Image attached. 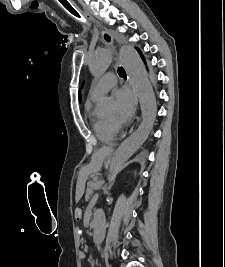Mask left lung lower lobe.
I'll return each instance as SVG.
<instances>
[{
    "label": "left lung lower lobe",
    "mask_w": 225,
    "mask_h": 267,
    "mask_svg": "<svg viewBox=\"0 0 225 267\" xmlns=\"http://www.w3.org/2000/svg\"><path fill=\"white\" fill-rule=\"evenodd\" d=\"M137 50H138V52L140 53V55L142 56V59H144V57H143V55H142V53H141V51L138 49V48H136Z\"/></svg>",
    "instance_id": "left-lung-lower-lobe-1"
}]
</instances>
